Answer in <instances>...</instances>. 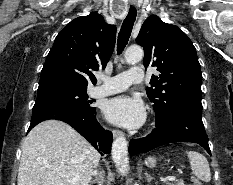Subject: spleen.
Instances as JSON below:
<instances>
[{"mask_svg":"<svg viewBox=\"0 0 233 185\" xmlns=\"http://www.w3.org/2000/svg\"><path fill=\"white\" fill-rule=\"evenodd\" d=\"M187 156L194 175L204 182H209L211 180V172L207 159L196 151L187 152Z\"/></svg>","mask_w":233,"mask_h":185,"instance_id":"obj_1","label":"spleen"}]
</instances>
